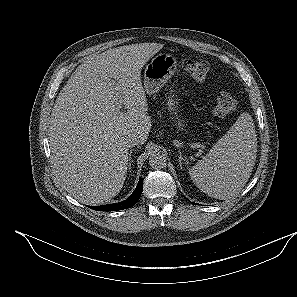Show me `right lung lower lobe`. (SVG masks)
I'll return each mask as SVG.
<instances>
[{"label": "right lung lower lobe", "mask_w": 297, "mask_h": 297, "mask_svg": "<svg viewBox=\"0 0 297 297\" xmlns=\"http://www.w3.org/2000/svg\"><path fill=\"white\" fill-rule=\"evenodd\" d=\"M142 191H143V180L140 179L133 194L125 201L115 203V204H110V205L94 206L90 208L97 211H117V210L127 209L134 206L137 203L138 199L141 196Z\"/></svg>", "instance_id": "1"}]
</instances>
